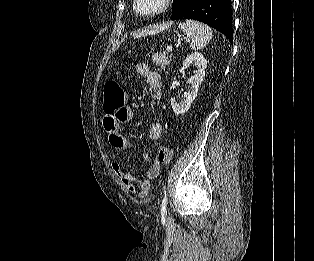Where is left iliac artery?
I'll list each match as a JSON object with an SVG mask.
<instances>
[{"label":"left iliac artery","instance_id":"44dca946","mask_svg":"<svg viewBox=\"0 0 314 261\" xmlns=\"http://www.w3.org/2000/svg\"><path fill=\"white\" fill-rule=\"evenodd\" d=\"M166 206H167V194H166V191H165L164 197H163L162 203H161V213H162L163 215H166V214H167V208H166Z\"/></svg>","mask_w":314,"mask_h":261}]
</instances>
